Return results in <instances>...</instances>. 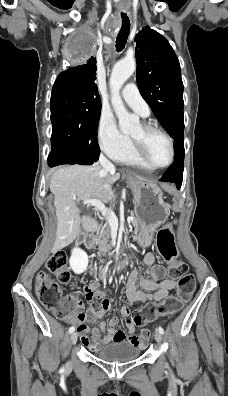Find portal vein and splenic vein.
Masks as SVG:
<instances>
[{
    "label": "portal vein and splenic vein",
    "instance_id": "18ae733b",
    "mask_svg": "<svg viewBox=\"0 0 228 396\" xmlns=\"http://www.w3.org/2000/svg\"><path fill=\"white\" fill-rule=\"evenodd\" d=\"M83 205L96 207L102 213V215L106 218L109 225L116 226V227L118 226V219L115 216V214L112 211L105 208V205L100 200H97V199L84 200ZM128 223H130V222L128 221Z\"/></svg>",
    "mask_w": 228,
    "mask_h": 396
}]
</instances>
